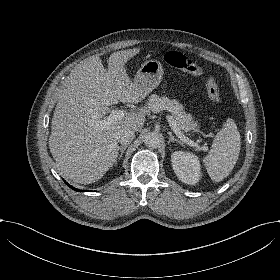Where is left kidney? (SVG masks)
Masks as SVG:
<instances>
[{
  "label": "left kidney",
  "instance_id": "left-kidney-1",
  "mask_svg": "<svg viewBox=\"0 0 280 280\" xmlns=\"http://www.w3.org/2000/svg\"><path fill=\"white\" fill-rule=\"evenodd\" d=\"M173 170L183 183L195 185L201 177L198 157L192 153L175 151L171 155Z\"/></svg>",
  "mask_w": 280,
  "mask_h": 280
}]
</instances>
